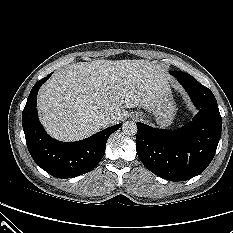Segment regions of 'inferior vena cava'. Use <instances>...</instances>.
I'll use <instances>...</instances> for the list:
<instances>
[{"mask_svg":"<svg viewBox=\"0 0 233 233\" xmlns=\"http://www.w3.org/2000/svg\"><path fill=\"white\" fill-rule=\"evenodd\" d=\"M95 121L102 127H106L111 123V117L108 115L98 116Z\"/></svg>","mask_w":233,"mask_h":233,"instance_id":"inferior-vena-cava-1","label":"inferior vena cava"}]
</instances>
